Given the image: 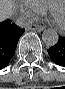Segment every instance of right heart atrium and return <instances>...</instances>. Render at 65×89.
Segmentation results:
<instances>
[{
    "label": "right heart atrium",
    "mask_w": 65,
    "mask_h": 89,
    "mask_svg": "<svg viewBox=\"0 0 65 89\" xmlns=\"http://www.w3.org/2000/svg\"><path fill=\"white\" fill-rule=\"evenodd\" d=\"M21 14L27 18H34L41 15L29 2H20L17 6Z\"/></svg>",
    "instance_id": "obj_1"
}]
</instances>
